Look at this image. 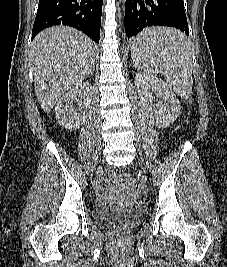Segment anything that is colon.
Returning <instances> with one entry per match:
<instances>
[{"instance_id":"colon-1","label":"colon","mask_w":227,"mask_h":267,"mask_svg":"<svg viewBox=\"0 0 227 267\" xmlns=\"http://www.w3.org/2000/svg\"><path fill=\"white\" fill-rule=\"evenodd\" d=\"M107 180L128 192H136L139 188L137 180L130 174H125L120 178H116L113 173H109L107 175Z\"/></svg>"}]
</instances>
